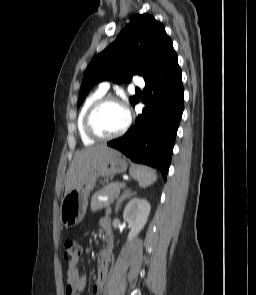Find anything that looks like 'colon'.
<instances>
[{"mask_svg": "<svg viewBox=\"0 0 256 295\" xmlns=\"http://www.w3.org/2000/svg\"><path fill=\"white\" fill-rule=\"evenodd\" d=\"M81 246L75 238L66 239L64 242L63 258L66 261H73L78 258Z\"/></svg>", "mask_w": 256, "mask_h": 295, "instance_id": "5ec220e1", "label": "colon"}]
</instances>
